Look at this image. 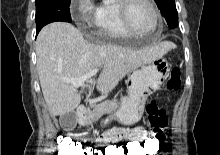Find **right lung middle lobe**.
Instances as JSON below:
<instances>
[{"label":"right lung middle lobe","mask_w":220,"mask_h":155,"mask_svg":"<svg viewBox=\"0 0 220 155\" xmlns=\"http://www.w3.org/2000/svg\"><path fill=\"white\" fill-rule=\"evenodd\" d=\"M70 0H36V26L40 30L55 21L71 22Z\"/></svg>","instance_id":"right-lung-middle-lobe-1"}]
</instances>
